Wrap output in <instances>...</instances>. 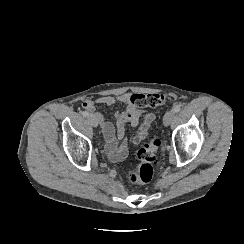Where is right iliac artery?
Wrapping results in <instances>:
<instances>
[{"label":"right iliac artery","instance_id":"obj_1","mask_svg":"<svg viewBox=\"0 0 244 244\" xmlns=\"http://www.w3.org/2000/svg\"><path fill=\"white\" fill-rule=\"evenodd\" d=\"M81 114L84 116V117H88L89 113L87 111H82Z\"/></svg>","mask_w":244,"mask_h":244}]
</instances>
